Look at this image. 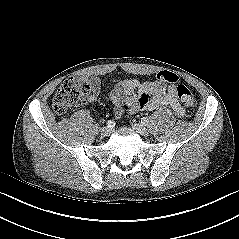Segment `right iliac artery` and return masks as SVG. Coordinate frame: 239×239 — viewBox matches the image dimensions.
Returning a JSON list of instances; mask_svg holds the SVG:
<instances>
[{"label": "right iliac artery", "instance_id": "1", "mask_svg": "<svg viewBox=\"0 0 239 239\" xmlns=\"http://www.w3.org/2000/svg\"><path fill=\"white\" fill-rule=\"evenodd\" d=\"M114 126H115V122H114V121L109 120V121L107 122V127L113 128Z\"/></svg>", "mask_w": 239, "mask_h": 239}]
</instances>
